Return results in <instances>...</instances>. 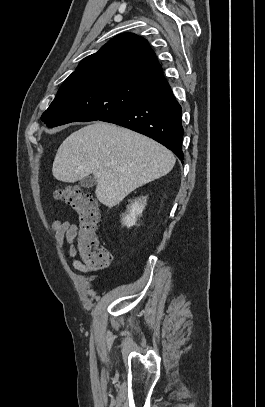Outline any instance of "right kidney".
Masks as SVG:
<instances>
[{
    "instance_id": "ca27d5eb",
    "label": "right kidney",
    "mask_w": 265,
    "mask_h": 407,
    "mask_svg": "<svg viewBox=\"0 0 265 407\" xmlns=\"http://www.w3.org/2000/svg\"><path fill=\"white\" fill-rule=\"evenodd\" d=\"M146 205V197L135 200L130 204L127 214L122 218V224L128 228L136 224L137 218L142 214Z\"/></svg>"
}]
</instances>
